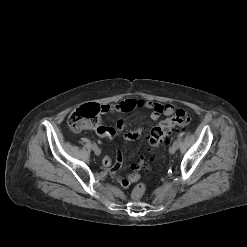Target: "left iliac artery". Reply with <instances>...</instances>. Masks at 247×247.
<instances>
[{
    "instance_id": "left-iliac-artery-1",
    "label": "left iliac artery",
    "mask_w": 247,
    "mask_h": 247,
    "mask_svg": "<svg viewBox=\"0 0 247 247\" xmlns=\"http://www.w3.org/2000/svg\"><path fill=\"white\" fill-rule=\"evenodd\" d=\"M178 144H179L178 140H175V141L173 142V145H176L177 147H178Z\"/></svg>"
}]
</instances>
